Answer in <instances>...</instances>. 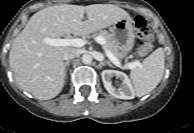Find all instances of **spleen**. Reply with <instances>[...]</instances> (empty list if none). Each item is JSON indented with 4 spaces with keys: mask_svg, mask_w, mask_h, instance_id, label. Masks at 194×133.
<instances>
[{
    "mask_svg": "<svg viewBox=\"0 0 194 133\" xmlns=\"http://www.w3.org/2000/svg\"><path fill=\"white\" fill-rule=\"evenodd\" d=\"M164 66V51L158 48L146 57L140 66L131 70L130 78L136 96L142 97L156 88L162 79Z\"/></svg>",
    "mask_w": 194,
    "mask_h": 133,
    "instance_id": "3e777b00",
    "label": "spleen"
}]
</instances>
